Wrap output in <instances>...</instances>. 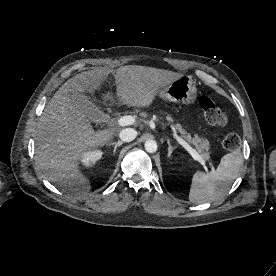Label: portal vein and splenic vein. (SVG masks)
I'll list each match as a JSON object with an SVG mask.
<instances>
[{
    "mask_svg": "<svg viewBox=\"0 0 276 276\" xmlns=\"http://www.w3.org/2000/svg\"><path fill=\"white\" fill-rule=\"evenodd\" d=\"M135 122V118L131 115L122 116L118 119L120 126L132 125ZM175 139L181 144L193 157L194 160L198 161L206 171H208L207 163L203 157H201L195 149H193L185 140L180 138L177 134H174ZM213 169V167H211Z\"/></svg>",
    "mask_w": 276,
    "mask_h": 276,
    "instance_id": "obj_1",
    "label": "portal vein and splenic vein"
}]
</instances>
